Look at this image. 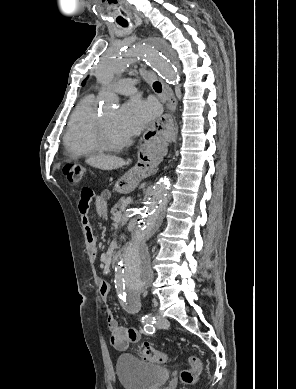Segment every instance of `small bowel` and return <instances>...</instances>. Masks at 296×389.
Instances as JSON below:
<instances>
[{"instance_id": "1", "label": "small bowel", "mask_w": 296, "mask_h": 389, "mask_svg": "<svg viewBox=\"0 0 296 389\" xmlns=\"http://www.w3.org/2000/svg\"><path fill=\"white\" fill-rule=\"evenodd\" d=\"M91 194L87 197V194ZM95 196L90 189H83L80 194V200L78 204V209L80 213L81 223L84 228L86 237L90 246L95 250L96 239L92 232L91 222L89 218V208L92 203H94L96 211L101 216L107 215V202L105 197ZM99 292L101 297L104 300H107L110 293V285L102 281L99 286ZM107 325L110 332V342L112 346L118 351L126 350L130 344L139 342L140 333L136 328L133 327H122L118 324L112 312L108 311L107 313Z\"/></svg>"}]
</instances>
